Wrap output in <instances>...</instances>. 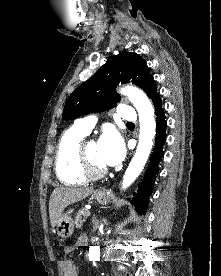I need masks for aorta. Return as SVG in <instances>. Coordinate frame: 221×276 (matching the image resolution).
<instances>
[{
  "instance_id": "aorta-1",
  "label": "aorta",
  "mask_w": 221,
  "mask_h": 276,
  "mask_svg": "<svg viewBox=\"0 0 221 276\" xmlns=\"http://www.w3.org/2000/svg\"><path fill=\"white\" fill-rule=\"evenodd\" d=\"M120 92L127 96L135 106L138 111L140 122V136L136 153L123 176L122 188L126 189L135 181L147 162L153 145L156 123L154 119V109L143 91L135 87L126 86L121 88ZM99 259V247H90L89 260L95 262L99 261Z\"/></svg>"
}]
</instances>
